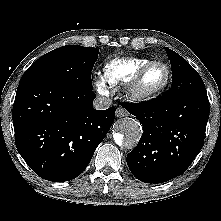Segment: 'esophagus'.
Segmentation results:
<instances>
[{
  "label": "esophagus",
  "instance_id": "1",
  "mask_svg": "<svg viewBox=\"0 0 221 221\" xmlns=\"http://www.w3.org/2000/svg\"><path fill=\"white\" fill-rule=\"evenodd\" d=\"M126 116H129V112L122 107H118L116 110V117L121 118Z\"/></svg>",
  "mask_w": 221,
  "mask_h": 221
}]
</instances>
